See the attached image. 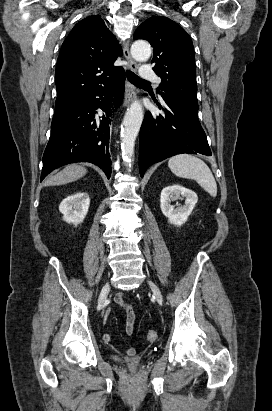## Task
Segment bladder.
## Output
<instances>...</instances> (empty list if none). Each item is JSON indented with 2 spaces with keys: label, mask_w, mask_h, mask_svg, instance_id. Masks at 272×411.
I'll return each instance as SVG.
<instances>
[{
  "label": "bladder",
  "mask_w": 272,
  "mask_h": 411,
  "mask_svg": "<svg viewBox=\"0 0 272 411\" xmlns=\"http://www.w3.org/2000/svg\"><path fill=\"white\" fill-rule=\"evenodd\" d=\"M146 357V355H139L133 358L114 356L113 359L126 367L134 368L139 366L146 359Z\"/></svg>",
  "instance_id": "1"
}]
</instances>
